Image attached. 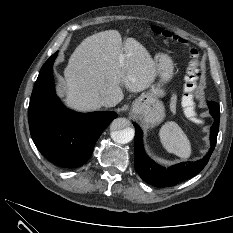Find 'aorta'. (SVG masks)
Segmentation results:
<instances>
[{
    "mask_svg": "<svg viewBox=\"0 0 233 233\" xmlns=\"http://www.w3.org/2000/svg\"><path fill=\"white\" fill-rule=\"evenodd\" d=\"M111 138L119 144L129 143L134 137V129L126 118H116L110 125Z\"/></svg>",
    "mask_w": 233,
    "mask_h": 233,
    "instance_id": "762f6f07",
    "label": "aorta"
}]
</instances>
